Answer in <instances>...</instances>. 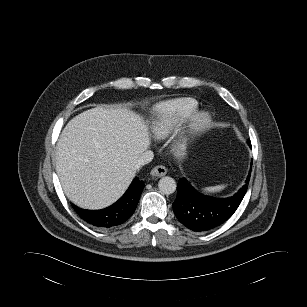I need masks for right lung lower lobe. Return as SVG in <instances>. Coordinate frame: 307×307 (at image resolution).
<instances>
[{
    "instance_id": "right-lung-lower-lobe-1",
    "label": "right lung lower lobe",
    "mask_w": 307,
    "mask_h": 307,
    "mask_svg": "<svg viewBox=\"0 0 307 307\" xmlns=\"http://www.w3.org/2000/svg\"><path fill=\"white\" fill-rule=\"evenodd\" d=\"M143 181L135 178L125 194L113 205L102 210H83L72 205L77 214L87 223L100 228H110L124 223L135 211Z\"/></svg>"
}]
</instances>
